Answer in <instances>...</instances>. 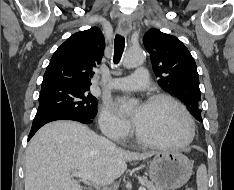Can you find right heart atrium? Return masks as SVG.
Segmentation results:
<instances>
[{"label":"right heart atrium","mask_w":234,"mask_h":190,"mask_svg":"<svg viewBox=\"0 0 234 190\" xmlns=\"http://www.w3.org/2000/svg\"><path fill=\"white\" fill-rule=\"evenodd\" d=\"M99 126L105 135L116 141L125 139L131 131V124L118 115L108 103L104 104L101 110Z\"/></svg>","instance_id":"right-heart-atrium-1"}]
</instances>
